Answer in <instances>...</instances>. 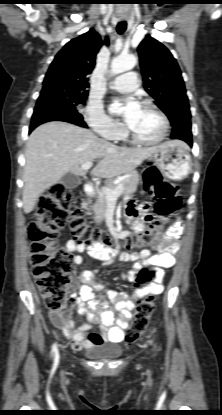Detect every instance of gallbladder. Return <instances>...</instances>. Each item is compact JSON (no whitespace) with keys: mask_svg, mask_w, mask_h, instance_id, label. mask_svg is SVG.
<instances>
[{"mask_svg":"<svg viewBox=\"0 0 222 415\" xmlns=\"http://www.w3.org/2000/svg\"><path fill=\"white\" fill-rule=\"evenodd\" d=\"M60 183L66 188L72 189L78 187L81 184V180L72 172H68L61 178Z\"/></svg>","mask_w":222,"mask_h":415,"instance_id":"gallbladder-1","label":"gallbladder"}]
</instances>
